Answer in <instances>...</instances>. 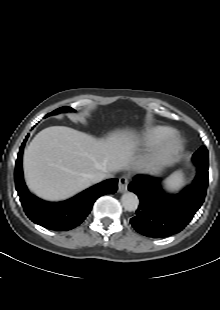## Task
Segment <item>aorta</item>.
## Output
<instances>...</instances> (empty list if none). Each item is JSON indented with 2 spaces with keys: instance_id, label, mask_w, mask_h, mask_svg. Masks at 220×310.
<instances>
[{
  "instance_id": "aorta-1",
  "label": "aorta",
  "mask_w": 220,
  "mask_h": 310,
  "mask_svg": "<svg viewBox=\"0 0 220 310\" xmlns=\"http://www.w3.org/2000/svg\"><path fill=\"white\" fill-rule=\"evenodd\" d=\"M121 202L126 211L132 212L138 208L139 199L132 192H126L121 197Z\"/></svg>"
}]
</instances>
